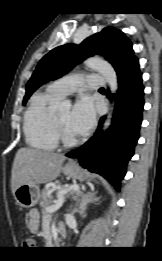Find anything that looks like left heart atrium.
Returning a JSON list of instances; mask_svg holds the SVG:
<instances>
[{
  "mask_svg": "<svg viewBox=\"0 0 162 261\" xmlns=\"http://www.w3.org/2000/svg\"><path fill=\"white\" fill-rule=\"evenodd\" d=\"M95 124V108L92 100L83 96L75 103L70 114L69 127L76 135L88 133Z\"/></svg>",
  "mask_w": 162,
  "mask_h": 261,
  "instance_id": "left-heart-atrium-1",
  "label": "left heart atrium"
}]
</instances>
